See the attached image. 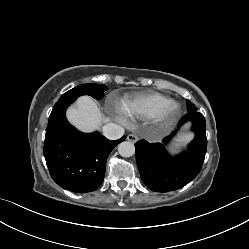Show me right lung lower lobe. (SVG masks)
<instances>
[{"mask_svg":"<svg viewBox=\"0 0 249 249\" xmlns=\"http://www.w3.org/2000/svg\"><path fill=\"white\" fill-rule=\"evenodd\" d=\"M64 106L51 112L46 129L44 156L50 175L62 188L86 193L104 180L106 161L121 139L111 141L95 132L81 133L66 119Z\"/></svg>","mask_w":249,"mask_h":249,"instance_id":"right-lung-lower-lobe-1","label":"right lung lower lobe"}]
</instances>
